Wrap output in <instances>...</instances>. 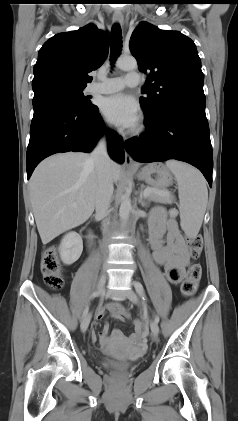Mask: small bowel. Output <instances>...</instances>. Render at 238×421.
<instances>
[{
  "label": "small bowel",
  "instance_id": "c3829d8e",
  "mask_svg": "<svg viewBox=\"0 0 238 421\" xmlns=\"http://www.w3.org/2000/svg\"><path fill=\"white\" fill-rule=\"evenodd\" d=\"M149 241L155 262L164 267L172 283H179L184 277L189 262V251L176 219L162 208L153 210L150 216ZM106 309L116 320L122 321L128 317V312L118 302L108 303ZM103 317L104 310H98L96 318L101 320ZM92 339L96 340L95 333L92 334ZM113 342H129L143 346L144 334L141 323L134 322V332L128 339L117 329L109 335V326L105 324L100 332L101 346L106 348Z\"/></svg>",
  "mask_w": 238,
  "mask_h": 421
}]
</instances>
